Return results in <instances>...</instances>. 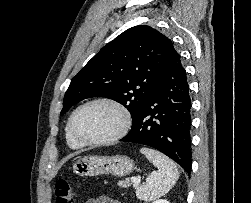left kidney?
Wrapping results in <instances>:
<instances>
[{
	"label": "left kidney",
	"mask_w": 251,
	"mask_h": 203,
	"mask_svg": "<svg viewBox=\"0 0 251 203\" xmlns=\"http://www.w3.org/2000/svg\"><path fill=\"white\" fill-rule=\"evenodd\" d=\"M152 203H169V201L165 200V199H158Z\"/></svg>",
	"instance_id": "1"
}]
</instances>
